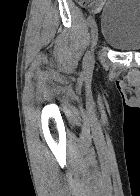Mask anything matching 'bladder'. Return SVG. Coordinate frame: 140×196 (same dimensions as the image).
I'll list each match as a JSON object with an SVG mask.
<instances>
[{
    "label": "bladder",
    "instance_id": "obj_1",
    "mask_svg": "<svg viewBox=\"0 0 140 196\" xmlns=\"http://www.w3.org/2000/svg\"><path fill=\"white\" fill-rule=\"evenodd\" d=\"M103 40L123 52L140 51V0H108L102 11Z\"/></svg>",
    "mask_w": 140,
    "mask_h": 196
}]
</instances>
